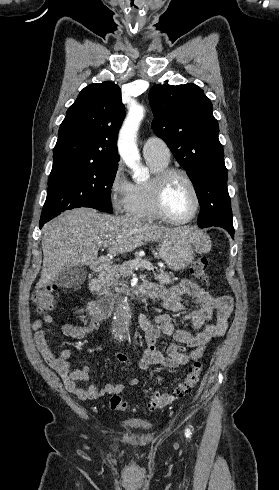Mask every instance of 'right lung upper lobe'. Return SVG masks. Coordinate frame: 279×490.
Instances as JSON below:
<instances>
[{"instance_id":"right-lung-upper-lobe-1","label":"right lung upper lobe","mask_w":279,"mask_h":490,"mask_svg":"<svg viewBox=\"0 0 279 490\" xmlns=\"http://www.w3.org/2000/svg\"><path fill=\"white\" fill-rule=\"evenodd\" d=\"M113 82L84 88L60 125L53 165L74 161H116L117 134L125 112Z\"/></svg>"}]
</instances>
